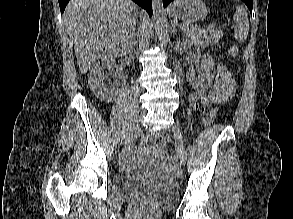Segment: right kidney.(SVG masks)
Returning a JSON list of instances; mask_svg holds the SVG:
<instances>
[{"label":"right kidney","mask_w":293,"mask_h":219,"mask_svg":"<svg viewBox=\"0 0 293 219\" xmlns=\"http://www.w3.org/2000/svg\"><path fill=\"white\" fill-rule=\"evenodd\" d=\"M106 69L116 70V61L112 58H105L97 62L90 70L88 84L97 98L103 102L109 103L114 100L116 91L114 84H107L105 81L104 71Z\"/></svg>","instance_id":"obj_1"}]
</instances>
